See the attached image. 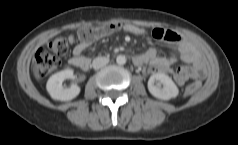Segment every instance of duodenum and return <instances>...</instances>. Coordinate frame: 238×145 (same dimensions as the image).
Wrapping results in <instances>:
<instances>
[{"label":"duodenum","instance_id":"410a0bca","mask_svg":"<svg viewBox=\"0 0 238 145\" xmlns=\"http://www.w3.org/2000/svg\"><path fill=\"white\" fill-rule=\"evenodd\" d=\"M132 61H133V63L136 65V64H137V57H136V56L133 57V58H132ZM89 66H90V65H89ZM89 66H88V68H89ZM88 68H87V69H88Z\"/></svg>","mask_w":238,"mask_h":145}]
</instances>
